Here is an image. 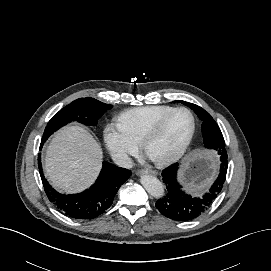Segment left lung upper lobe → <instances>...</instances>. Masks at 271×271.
<instances>
[{"mask_svg":"<svg viewBox=\"0 0 271 271\" xmlns=\"http://www.w3.org/2000/svg\"><path fill=\"white\" fill-rule=\"evenodd\" d=\"M179 102L190 107L198 115V117L203 121L202 123V135L204 138V144L206 148L214 149L218 153L225 149V142L223 135L217 123L211 117V115L206 112L203 108L180 100Z\"/></svg>","mask_w":271,"mask_h":271,"instance_id":"1","label":"left lung upper lobe"}]
</instances>
